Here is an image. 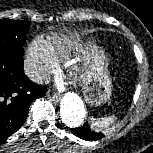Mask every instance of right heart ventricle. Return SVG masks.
<instances>
[{
	"instance_id": "right-heart-ventricle-1",
	"label": "right heart ventricle",
	"mask_w": 153,
	"mask_h": 153,
	"mask_svg": "<svg viewBox=\"0 0 153 153\" xmlns=\"http://www.w3.org/2000/svg\"><path fill=\"white\" fill-rule=\"evenodd\" d=\"M46 44L56 61L68 59L73 49L70 41L57 36L50 37Z\"/></svg>"
}]
</instances>
